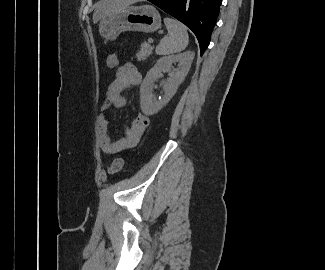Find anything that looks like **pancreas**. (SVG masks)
I'll use <instances>...</instances> for the list:
<instances>
[{
    "label": "pancreas",
    "mask_w": 325,
    "mask_h": 270,
    "mask_svg": "<svg viewBox=\"0 0 325 270\" xmlns=\"http://www.w3.org/2000/svg\"><path fill=\"white\" fill-rule=\"evenodd\" d=\"M153 47L149 45L148 43L144 42L141 44L140 50L136 54V58L138 61L145 60L151 53H152Z\"/></svg>",
    "instance_id": "pancreas-1"
}]
</instances>
